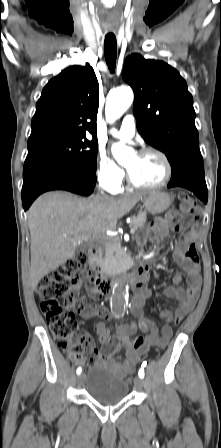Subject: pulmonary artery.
Segmentation results:
<instances>
[{
    "mask_svg": "<svg viewBox=\"0 0 221 448\" xmlns=\"http://www.w3.org/2000/svg\"><path fill=\"white\" fill-rule=\"evenodd\" d=\"M110 135L120 139L132 138L136 133L135 118L132 115H126L120 128L109 129Z\"/></svg>",
    "mask_w": 221,
    "mask_h": 448,
    "instance_id": "e3ab8cb5",
    "label": "pulmonary artery"
}]
</instances>
